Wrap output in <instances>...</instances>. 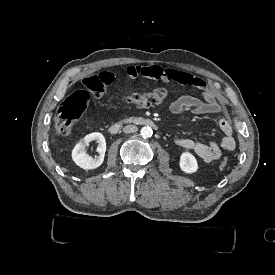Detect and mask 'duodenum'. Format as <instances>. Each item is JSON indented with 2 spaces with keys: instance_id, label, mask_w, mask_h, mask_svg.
I'll list each match as a JSON object with an SVG mask.
<instances>
[{
  "instance_id": "obj_1",
  "label": "duodenum",
  "mask_w": 275,
  "mask_h": 275,
  "mask_svg": "<svg viewBox=\"0 0 275 275\" xmlns=\"http://www.w3.org/2000/svg\"><path fill=\"white\" fill-rule=\"evenodd\" d=\"M125 125H135V126H148L153 129H157V126L151 118L148 117H135L126 120H120L109 126L108 131L110 134H116Z\"/></svg>"
}]
</instances>
